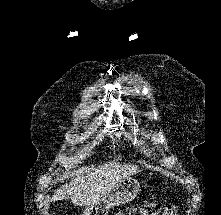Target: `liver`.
Instances as JSON below:
<instances>
[{"instance_id":"obj_1","label":"liver","mask_w":221,"mask_h":215,"mask_svg":"<svg viewBox=\"0 0 221 215\" xmlns=\"http://www.w3.org/2000/svg\"><path fill=\"white\" fill-rule=\"evenodd\" d=\"M138 166L109 162L103 166L93 168L78 176L69 185L57 188L52 201L70 198L78 206H90L99 202L120 181L139 172Z\"/></svg>"}]
</instances>
